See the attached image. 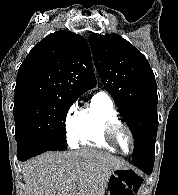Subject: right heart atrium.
Masks as SVG:
<instances>
[{
    "label": "right heart atrium",
    "instance_id": "1",
    "mask_svg": "<svg viewBox=\"0 0 178 195\" xmlns=\"http://www.w3.org/2000/svg\"><path fill=\"white\" fill-rule=\"evenodd\" d=\"M81 115L78 102L73 103L65 114L66 136L71 147H75L79 140Z\"/></svg>",
    "mask_w": 178,
    "mask_h": 195
}]
</instances>
